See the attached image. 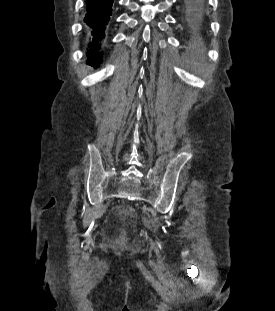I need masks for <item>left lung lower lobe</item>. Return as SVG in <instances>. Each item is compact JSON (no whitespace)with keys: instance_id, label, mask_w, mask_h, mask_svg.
<instances>
[{"instance_id":"0a47b994","label":"left lung lower lobe","mask_w":275,"mask_h":311,"mask_svg":"<svg viewBox=\"0 0 275 311\" xmlns=\"http://www.w3.org/2000/svg\"><path fill=\"white\" fill-rule=\"evenodd\" d=\"M185 9L184 26L188 30H197L202 26L201 10L204 0H183Z\"/></svg>"}]
</instances>
